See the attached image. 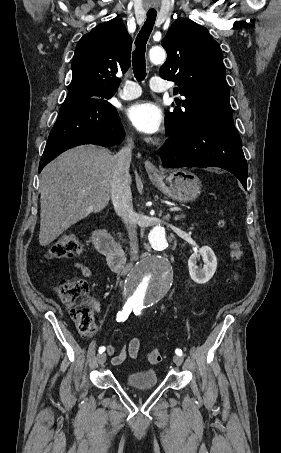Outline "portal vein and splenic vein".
<instances>
[{"mask_svg":"<svg viewBox=\"0 0 281 453\" xmlns=\"http://www.w3.org/2000/svg\"><path fill=\"white\" fill-rule=\"evenodd\" d=\"M181 210H183V209H181ZM169 211H170V212H175V213H176V212H180V207H176V206H175V207H170V208H169Z\"/></svg>","mask_w":281,"mask_h":453,"instance_id":"obj_1","label":"portal vein and splenic vein"}]
</instances>
